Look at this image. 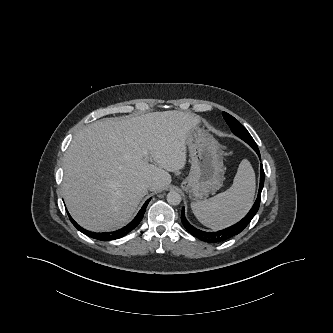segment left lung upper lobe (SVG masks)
Instances as JSON below:
<instances>
[{"label":"left lung upper lobe","instance_id":"obj_1","mask_svg":"<svg viewBox=\"0 0 333 333\" xmlns=\"http://www.w3.org/2000/svg\"><path fill=\"white\" fill-rule=\"evenodd\" d=\"M226 123L230 127L231 131L244 140L246 143H248L251 147L257 146L255 141L253 140L252 136L249 134V132L246 130V128L238 121L236 120L233 116L230 114L223 112L222 113Z\"/></svg>","mask_w":333,"mask_h":333}]
</instances>
